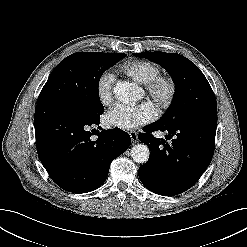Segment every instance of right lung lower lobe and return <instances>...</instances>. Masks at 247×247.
<instances>
[{
    "label": "right lung lower lobe",
    "mask_w": 247,
    "mask_h": 247,
    "mask_svg": "<svg viewBox=\"0 0 247 247\" xmlns=\"http://www.w3.org/2000/svg\"><path fill=\"white\" fill-rule=\"evenodd\" d=\"M99 117H83L55 102L37 103V153L51 179L66 191L86 193L99 188L111 162L131 144L129 134L119 128L103 130L93 141L88 129L99 124Z\"/></svg>",
    "instance_id": "98d812e1"
}]
</instances>
